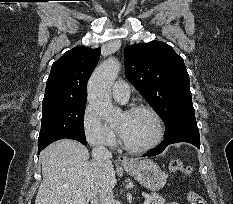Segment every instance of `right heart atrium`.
I'll use <instances>...</instances> for the list:
<instances>
[{"mask_svg": "<svg viewBox=\"0 0 233 204\" xmlns=\"http://www.w3.org/2000/svg\"><path fill=\"white\" fill-rule=\"evenodd\" d=\"M82 131L87 142L95 147H114L116 131L102 121L91 105H86L82 114Z\"/></svg>", "mask_w": 233, "mask_h": 204, "instance_id": "1", "label": "right heart atrium"}]
</instances>
